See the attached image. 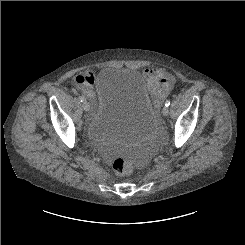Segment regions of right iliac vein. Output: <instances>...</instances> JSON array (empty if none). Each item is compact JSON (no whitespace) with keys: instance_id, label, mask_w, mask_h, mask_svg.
<instances>
[{"instance_id":"obj_1","label":"right iliac vein","mask_w":245,"mask_h":245,"mask_svg":"<svg viewBox=\"0 0 245 245\" xmlns=\"http://www.w3.org/2000/svg\"><path fill=\"white\" fill-rule=\"evenodd\" d=\"M82 108H83L85 111H89V110H90V104H89L87 101H83V103H82Z\"/></svg>"}]
</instances>
